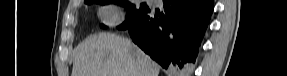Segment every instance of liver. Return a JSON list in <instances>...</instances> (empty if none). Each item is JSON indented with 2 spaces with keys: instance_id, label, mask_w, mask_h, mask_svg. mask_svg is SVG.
Segmentation results:
<instances>
[{
  "instance_id": "liver-1",
  "label": "liver",
  "mask_w": 287,
  "mask_h": 76,
  "mask_svg": "<svg viewBox=\"0 0 287 76\" xmlns=\"http://www.w3.org/2000/svg\"><path fill=\"white\" fill-rule=\"evenodd\" d=\"M160 67L129 39L92 35L74 51L71 76H158Z\"/></svg>"
}]
</instances>
